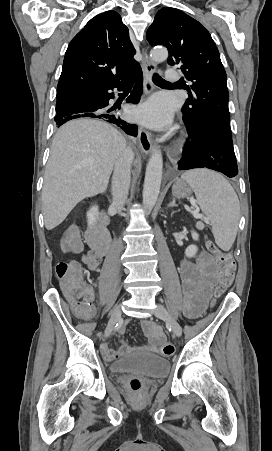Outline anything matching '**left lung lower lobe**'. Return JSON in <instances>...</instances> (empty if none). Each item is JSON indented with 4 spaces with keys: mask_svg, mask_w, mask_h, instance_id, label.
I'll use <instances>...</instances> for the list:
<instances>
[{
    "mask_svg": "<svg viewBox=\"0 0 272 451\" xmlns=\"http://www.w3.org/2000/svg\"><path fill=\"white\" fill-rule=\"evenodd\" d=\"M189 144L183 148L178 169L209 168L228 177L238 174L232 136L217 127H207L189 132Z\"/></svg>",
    "mask_w": 272,
    "mask_h": 451,
    "instance_id": "left-lung-lower-lobe-1",
    "label": "left lung lower lobe"
}]
</instances>
